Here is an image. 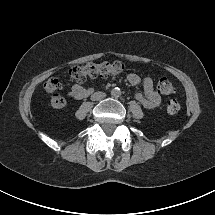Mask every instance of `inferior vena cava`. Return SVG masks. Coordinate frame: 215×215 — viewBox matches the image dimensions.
<instances>
[{
  "instance_id": "inferior-vena-cava-1",
  "label": "inferior vena cava",
  "mask_w": 215,
  "mask_h": 215,
  "mask_svg": "<svg viewBox=\"0 0 215 215\" xmlns=\"http://www.w3.org/2000/svg\"><path fill=\"white\" fill-rule=\"evenodd\" d=\"M105 96H106L105 93H101V94H100V98H103V97H105Z\"/></svg>"
}]
</instances>
